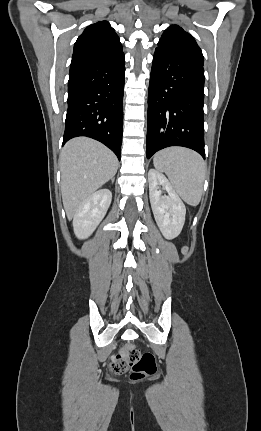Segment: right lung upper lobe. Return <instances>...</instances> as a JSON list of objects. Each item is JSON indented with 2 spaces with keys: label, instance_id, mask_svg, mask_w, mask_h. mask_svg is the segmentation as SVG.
I'll list each match as a JSON object with an SVG mask.
<instances>
[{
  "label": "right lung upper lobe",
  "instance_id": "right-lung-upper-lobe-1",
  "mask_svg": "<svg viewBox=\"0 0 261 431\" xmlns=\"http://www.w3.org/2000/svg\"><path fill=\"white\" fill-rule=\"evenodd\" d=\"M122 52L118 35L107 21L88 26L74 45L73 56L117 54Z\"/></svg>",
  "mask_w": 261,
  "mask_h": 431
}]
</instances>
